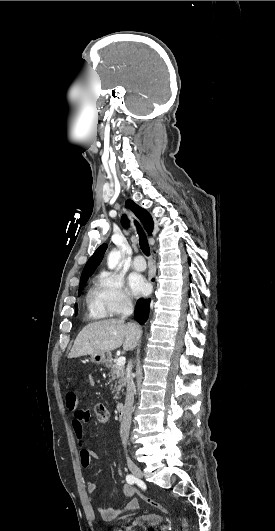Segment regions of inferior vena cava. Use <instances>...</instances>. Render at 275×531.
<instances>
[{"label":"inferior vena cava","instance_id":"602c4592","mask_svg":"<svg viewBox=\"0 0 275 531\" xmlns=\"http://www.w3.org/2000/svg\"><path fill=\"white\" fill-rule=\"evenodd\" d=\"M132 313H133L132 301H130V299H125L124 305H123L122 319H126V317H129V315H132ZM132 367H133L132 363H129L125 407L123 411L122 423L120 425V437H121L123 447H126L128 443L129 431H130V425H131V417L134 411L133 401H134L135 385L133 383V377L131 375Z\"/></svg>","mask_w":275,"mask_h":531}]
</instances>
